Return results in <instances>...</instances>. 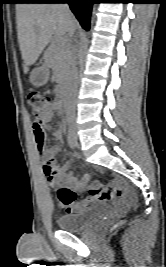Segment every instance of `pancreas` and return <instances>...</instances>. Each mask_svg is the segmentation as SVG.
<instances>
[{
    "label": "pancreas",
    "mask_w": 166,
    "mask_h": 267,
    "mask_svg": "<svg viewBox=\"0 0 166 267\" xmlns=\"http://www.w3.org/2000/svg\"><path fill=\"white\" fill-rule=\"evenodd\" d=\"M70 46L64 41L53 42L44 54L47 65L53 70L54 77L63 81L69 71Z\"/></svg>",
    "instance_id": "obj_1"
}]
</instances>
